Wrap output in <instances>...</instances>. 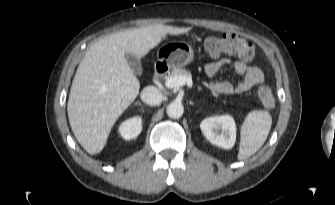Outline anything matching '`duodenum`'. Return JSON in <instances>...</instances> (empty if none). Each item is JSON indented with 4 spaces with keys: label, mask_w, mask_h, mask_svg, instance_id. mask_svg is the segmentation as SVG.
Wrapping results in <instances>:
<instances>
[{
    "label": "duodenum",
    "mask_w": 335,
    "mask_h": 205,
    "mask_svg": "<svg viewBox=\"0 0 335 205\" xmlns=\"http://www.w3.org/2000/svg\"><path fill=\"white\" fill-rule=\"evenodd\" d=\"M168 70V65L165 61H158L154 67V78L158 79L162 77Z\"/></svg>",
    "instance_id": "1"
}]
</instances>
